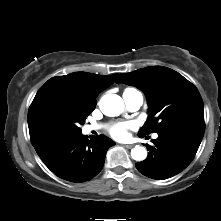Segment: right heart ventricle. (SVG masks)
<instances>
[{
    "label": "right heart ventricle",
    "mask_w": 221,
    "mask_h": 221,
    "mask_svg": "<svg viewBox=\"0 0 221 221\" xmlns=\"http://www.w3.org/2000/svg\"><path fill=\"white\" fill-rule=\"evenodd\" d=\"M132 91H136V90L129 88V89H126L125 92H132Z\"/></svg>",
    "instance_id": "e07e8e85"
}]
</instances>
